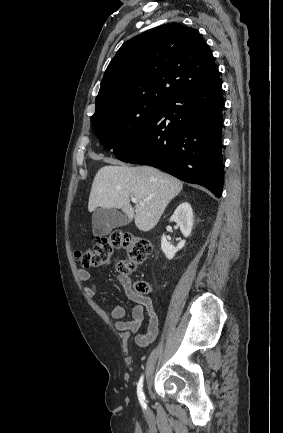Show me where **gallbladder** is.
Here are the masks:
<instances>
[{
  "instance_id": "1",
  "label": "gallbladder",
  "mask_w": 283,
  "mask_h": 433,
  "mask_svg": "<svg viewBox=\"0 0 283 433\" xmlns=\"http://www.w3.org/2000/svg\"><path fill=\"white\" fill-rule=\"evenodd\" d=\"M129 219L116 208H95L92 214L93 235H110L112 229L125 227Z\"/></svg>"
}]
</instances>
